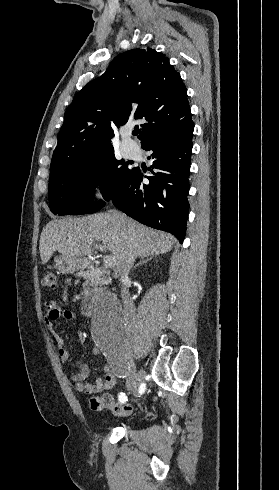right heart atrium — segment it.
<instances>
[{
	"instance_id": "d8ad5b80",
	"label": "right heart atrium",
	"mask_w": 279,
	"mask_h": 490,
	"mask_svg": "<svg viewBox=\"0 0 279 490\" xmlns=\"http://www.w3.org/2000/svg\"><path fill=\"white\" fill-rule=\"evenodd\" d=\"M108 181L109 172L107 169H100L91 176L86 187L87 201L91 206H97L104 200Z\"/></svg>"
}]
</instances>
